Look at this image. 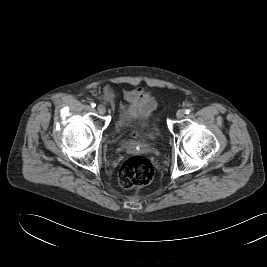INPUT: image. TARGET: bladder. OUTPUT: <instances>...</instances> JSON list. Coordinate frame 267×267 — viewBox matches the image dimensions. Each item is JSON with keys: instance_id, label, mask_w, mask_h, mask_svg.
I'll use <instances>...</instances> for the list:
<instances>
[{"instance_id": "1", "label": "bladder", "mask_w": 267, "mask_h": 267, "mask_svg": "<svg viewBox=\"0 0 267 267\" xmlns=\"http://www.w3.org/2000/svg\"><path fill=\"white\" fill-rule=\"evenodd\" d=\"M158 143L155 145H148V144H139L133 140H124L121 142L120 147L123 151L128 153H134L137 151L141 152H148L151 150H156L158 148Z\"/></svg>"}]
</instances>
